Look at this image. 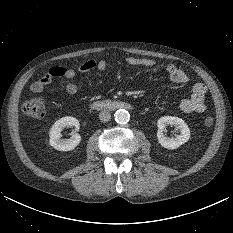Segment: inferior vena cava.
<instances>
[{"mask_svg":"<svg viewBox=\"0 0 233 233\" xmlns=\"http://www.w3.org/2000/svg\"><path fill=\"white\" fill-rule=\"evenodd\" d=\"M99 119L101 122H108L111 119V114L108 110H102L99 113Z\"/></svg>","mask_w":233,"mask_h":233,"instance_id":"1","label":"inferior vena cava"}]
</instances>
